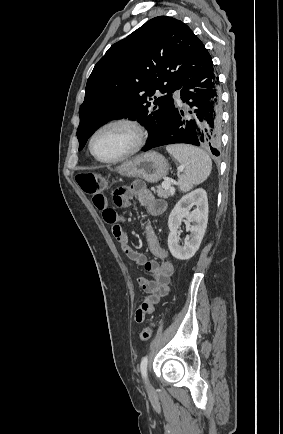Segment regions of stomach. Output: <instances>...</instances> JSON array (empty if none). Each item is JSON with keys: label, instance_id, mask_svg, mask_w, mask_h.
I'll return each instance as SVG.
<instances>
[{"label": "stomach", "instance_id": "0dacf381", "mask_svg": "<svg viewBox=\"0 0 283 434\" xmlns=\"http://www.w3.org/2000/svg\"><path fill=\"white\" fill-rule=\"evenodd\" d=\"M168 162L161 154L151 151L122 163L116 171L126 177L141 178L156 183L168 173Z\"/></svg>", "mask_w": 283, "mask_h": 434}]
</instances>
